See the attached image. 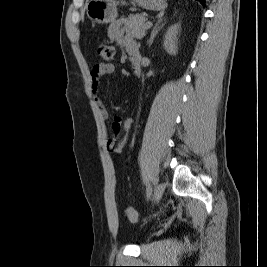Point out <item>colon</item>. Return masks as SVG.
Here are the masks:
<instances>
[{"label": "colon", "mask_w": 267, "mask_h": 267, "mask_svg": "<svg viewBox=\"0 0 267 267\" xmlns=\"http://www.w3.org/2000/svg\"><path fill=\"white\" fill-rule=\"evenodd\" d=\"M96 51L98 56L105 61L112 60L115 55V48L108 44H98L96 47ZM126 216L130 222H137L138 220V213L132 207H128L126 209Z\"/></svg>", "instance_id": "1"}]
</instances>
